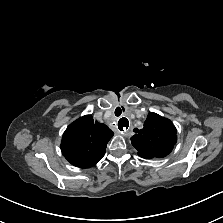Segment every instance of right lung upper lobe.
<instances>
[{"label": "right lung upper lobe", "mask_w": 223, "mask_h": 223, "mask_svg": "<svg viewBox=\"0 0 223 223\" xmlns=\"http://www.w3.org/2000/svg\"><path fill=\"white\" fill-rule=\"evenodd\" d=\"M113 135V131L105 124L94 122L91 115H85L67 127L61 150L72 165L89 168L102 159Z\"/></svg>", "instance_id": "1"}]
</instances>
